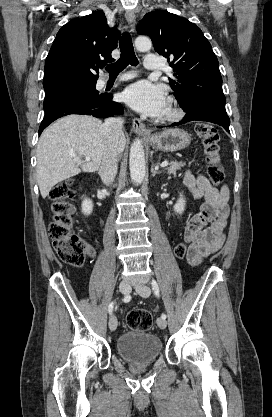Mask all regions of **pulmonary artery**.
I'll return each instance as SVG.
<instances>
[{"label": "pulmonary artery", "mask_w": 272, "mask_h": 417, "mask_svg": "<svg viewBox=\"0 0 272 417\" xmlns=\"http://www.w3.org/2000/svg\"><path fill=\"white\" fill-rule=\"evenodd\" d=\"M144 67L148 70L160 69L161 65H160L159 57L154 54L146 55L145 60H144ZM132 77H133L132 74H128V75L120 77L119 80H127Z\"/></svg>", "instance_id": "1"}]
</instances>
